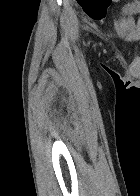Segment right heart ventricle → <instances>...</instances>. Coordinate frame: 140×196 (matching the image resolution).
I'll use <instances>...</instances> for the list:
<instances>
[{
	"mask_svg": "<svg viewBox=\"0 0 140 196\" xmlns=\"http://www.w3.org/2000/svg\"><path fill=\"white\" fill-rule=\"evenodd\" d=\"M92 192H111V191H92Z\"/></svg>",
	"mask_w": 140,
	"mask_h": 196,
	"instance_id": "obj_1",
	"label": "right heart ventricle"
}]
</instances>
